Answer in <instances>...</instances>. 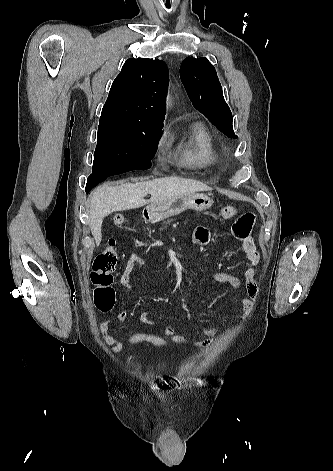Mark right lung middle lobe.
<instances>
[{
  "label": "right lung middle lobe",
  "instance_id": "obj_1",
  "mask_svg": "<svg viewBox=\"0 0 333 471\" xmlns=\"http://www.w3.org/2000/svg\"><path fill=\"white\" fill-rule=\"evenodd\" d=\"M162 128L163 123L100 119L91 175L110 177L150 168Z\"/></svg>",
  "mask_w": 333,
  "mask_h": 471
}]
</instances>
